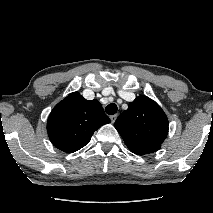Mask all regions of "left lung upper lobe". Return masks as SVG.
I'll return each instance as SVG.
<instances>
[{
  "mask_svg": "<svg viewBox=\"0 0 213 213\" xmlns=\"http://www.w3.org/2000/svg\"><path fill=\"white\" fill-rule=\"evenodd\" d=\"M115 128L135 154L156 152L168 134V119L162 108L147 96H139L115 121Z\"/></svg>",
  "mask_w": 213,
  "mask_h": 213,
  "instance_id": "1",
  "label": "left lung upper lobe"
}]
</instances>
